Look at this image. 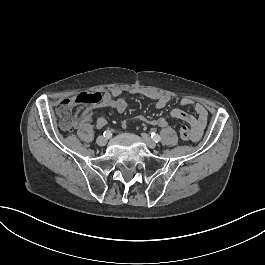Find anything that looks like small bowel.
Wrapping results in <instances>:
<instances>
[{"label":"small bowel","instance_id":"obj_1","mask_svg":"<svg viewBox=\"0 0 265 265\" xmlns=\"http://www.w3.org/2000/svg\"><path fill=\"white\" fill-rule=\"evenodd\" d=\"M131 94L143 95L148 99L155 101V106L157 109L164 108L171 100V97L166 94H160L152 91H143L140 89H132ZM181 106L192 107L195 111V115L188 113L182 109H173L170 111V117L173 119H178L186 122L189 125L191 136L190 140L192 142L199 141L204 133V130L208 121V111L204 105L192 100L189 97H182L180 99ZM98 107H109L117 112H124L127 107V99L125 96H121V91L118 89L112 90L111 92H105L102 96L101 102L97 105ZM92 109L86 108L83 110L82 114L74 121L73 125L75 127H83L90 123L92 120ZM143 121L144 124L148 123V120L144 116L130 117L128 119L129 123ZM126 120L122 122V127L127 128L128 123ZM107 124V119L105 114H101L96 119V126L102 128ZM150 124L152 126L166 127L168 122L166 118L160 117L156 120H151Z\"/></svg>","mask_w":265,"mask_h":265}]
</instances>
